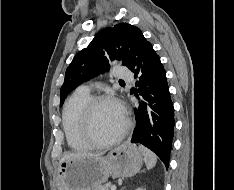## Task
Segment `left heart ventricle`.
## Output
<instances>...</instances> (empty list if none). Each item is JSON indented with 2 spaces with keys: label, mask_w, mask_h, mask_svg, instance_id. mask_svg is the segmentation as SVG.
<instances>
[{
  "label": "left heart ventricle",
  "mask_w": 234,
  "mask_h": 190,
  "mask_svg": "<svg viewBox=\"0 0 234 190\" xmlns=\"http://www.w3.org/2000/svg\"><path fill=\"white\" fill-rule=\"evenodd\" d=\"M125 119L121 108L112 102L100 104L92 118V133L98 140H107L123 128Z\"/></svg>",
  "instance_id": "1"
}]
</instances>
